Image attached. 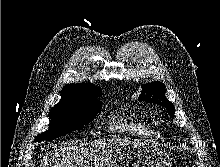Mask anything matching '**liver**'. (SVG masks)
Wrapping results in <instances>:
<instances>
[{"label": "liver", "instance_id": "liver-1", "mask_svg": "<svg viewBox=\"0 0 220 167\" xmlns=\"http://www.w3.org/2000/svg\"><path fill=\"white\" fill-rule=\"evenodd\" d=\"M132 143L128 139H104L55 144L44 155L40 167H113L122 148Z\"/></svg>", "mask_w": 220, "mask_h": 167}]
</instances>
